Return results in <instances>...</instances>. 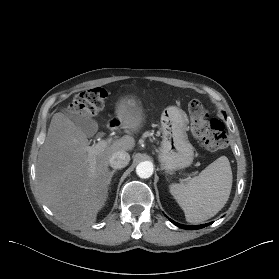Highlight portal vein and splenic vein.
<instances>
[{"instance_id":"obj_1","label":"portal vein and splenic vein","mask_w":279,"mask_h":279,"mask_svg":"<svg viewBox=\"0 0 279 279\" xmlns=\"http://www.w3.org/2000/svg\"><path fill=\"white\" fill-rule=\"evenodd\" d=\"M110 143H111V139L100 140L97 144L86 147V151L90 155H92V154L96 153L97 151L106 148Z\"/></svg>"}]
</instances>
